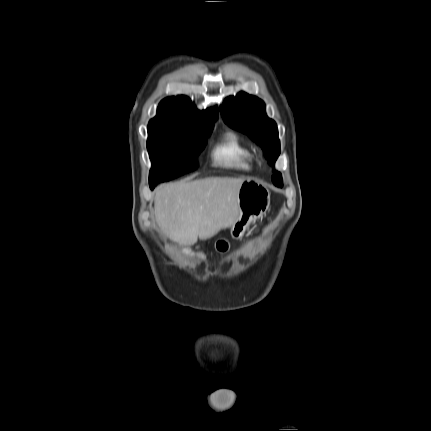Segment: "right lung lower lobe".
<instances>
[{"instance_id":"obj_1","label":"right lung lower lobe","mask_w":431,"mask_h":431,"mask_svg":"<svg viewBox=\"0 0 431 431\" xmlns=\"http://www.w3.org/2000/svg\"><path fill=\"white\" fill-rule=\"evenodd\" d=\"M149 185H150V188H151V189H154V187H155L157 184L149 183Z\"/></svg>"}]
</instances>
